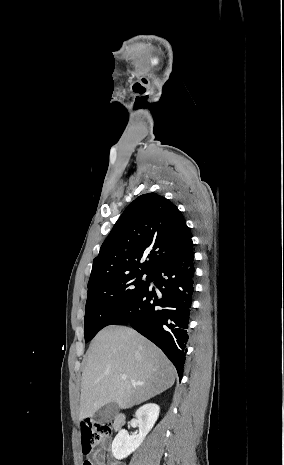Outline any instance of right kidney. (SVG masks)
<instances>
[{
	"label": "right kidney",
	"mask_w": 284,
	"mask_h": 465,
	"mask_svg": "<svg viewBox=\"0 0 284 465\" xmlns=\"http://www.w3.org/2000/svg\"><path fill=\"white\" fill-rule=\"evenodd\" d=\"M159 415V407L155 403L143 405L136 411L137 423L139 427L138 435H128L125 429L119 431L112 443V453L115 459H125L131 453H134L141 443H143L146 435L154 427Z\"/></svg>",
	"instance_id": "obj_1"
}]
</instances>
